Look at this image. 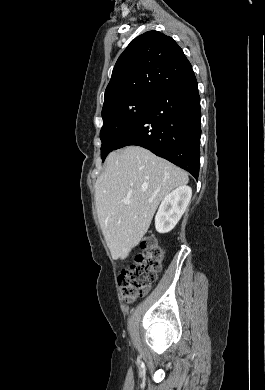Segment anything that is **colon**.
I'll return each instance as SVG.
<instances>
[{
    "mask_svg": "<svg viewBox=\"0 0 265 390\" xmlns=\"http://www.w3.org/2000/svg\"><path fill=\"white\" fill-rule=\"evenodd\" d=\"M141 249L134 262L118 277L122 296L126 302H132L145 295L161 270L163 250L158 239L153 236L144 238Z\"/></svg>",
    "mask_w": 265,
    "mask_h": 390,
    "instance_id": "5ec220e1",
    "label": "colon"
}]
</instances>
